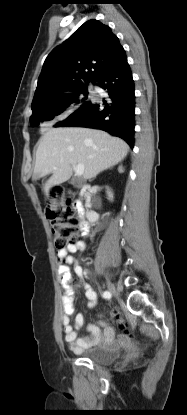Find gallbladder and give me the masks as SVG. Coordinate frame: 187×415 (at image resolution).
Wrapping results in <instances>:
<instances>
[{"instance_id":"bac80fb5","label":"gallbladder","mask_w":187,"mask_h":415,"mask_svg":"<svg viewBox=\"0 0 187 415\" xmlns=\"http://www.w3.org/2000/svg\"><path fill=\"white\" fill-rule=\"evenodd\" d=\"M70 183H71L72 185H74V186H80V185H82L81 180H80V179H78V178H74V179H72Z\"/></svg>"}]
</instances>
